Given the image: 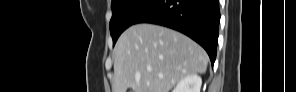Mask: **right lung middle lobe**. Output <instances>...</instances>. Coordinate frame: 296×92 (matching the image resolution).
<instances>
[{
  "label": "right lung middle lobe",
  "instance_id": "obj_1",
  "mask_svg": "<svg viewBox=\"0 0 296 92\" xmlns=\"http://www.w3.org/2000/svg\"><path fill=\"white\" fill-rule=\"evenodd\" d=\"M157 0H112V18L110 21V34L113 45L120 34L132 25Z\"/></svg>",
  "mask_w": 296,
  "mask_h": 92
}]
</instances>
